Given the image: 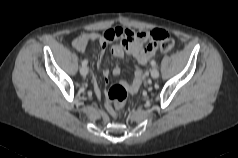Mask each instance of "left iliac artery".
I'll use <instances>...</instances> for the list:
<instances>
[{
    "label": "left iliac artery",
    "instance_id": "obj_1",
    "mask_svg": "<svg viewBox=\"0 0 238 158\" xmlns=\"http://www.w3.org/2000/svg\"><path fill=\"white\" fill-rule=\"evenodd\" d=\"M151 65H152L153 67H155V66H156V62H155L154 60H152V61H151Z\"/></svg>",
    "mask_w": 238,
    "mask_h": 158
}]
</instances>
